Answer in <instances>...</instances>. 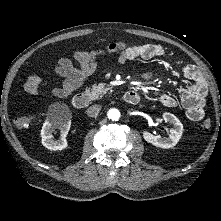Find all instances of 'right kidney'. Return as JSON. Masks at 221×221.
<instances>
[{"label": "right kidney", "instance_id": "ca27d5eb", "mask_svg": "<svg viewBox=\"0 0 221 221\" xmlns=\"http://www.w3.org/2000/svg\"><path fill=\"white\" fill-rule=\"evenodd\" d=\"M58 127L61 129L62 138L55 140L52 136L53 129ZM70 129V121L48 120L41 129L42 144L50 150H63L68 146L65 136Z\"/></svg>", "mask_w": 221, "mask_h": 221}]
</instances>
